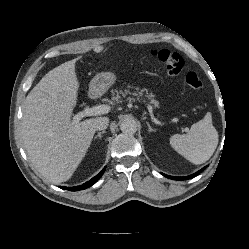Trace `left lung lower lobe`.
<instances>
[{
  "mask_svg": "<svg viewBox=\"0 0 249 249\" xmlns=\"http://www.w3.org/2000/svg\"><path fill=\"white\" fill-rule=\"evenodd\" d=\"M207 166H205L204 168H202L201 170L197 171L196 173L190 175V176H186V177H173V176H169V175H165V174H162L164 176H166L167 178H170V179H174V180H187V179H191L195 176H197L199 173H201V171H203Z\"/></svg>",
  "mask_w": 249,
  "mask_h": 249,
  "instance_id": "left-lung-lower-lobe-1",
  "label": "left lung lower lobe"
}]
</instances>
